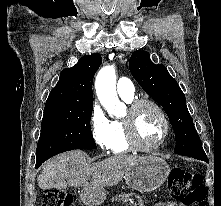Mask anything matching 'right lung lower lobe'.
Instances as JSON below:
<instances>
[{
    "instance_id": "obj_1",
    "label": "right lung lower lobe",
    "mask_w": 221,
    "mask_h": 206,
    "mask_svg": "<svg viewBox=\"0 0 221 206\" xmlns=\"http://www.w3.org/2000/svg\"><path fill=\"white\" fill-rule=\"evenodd\" d=\"M45 160H37L36 161V168L39 167Z\"/></svg>"
}]
</instances>
